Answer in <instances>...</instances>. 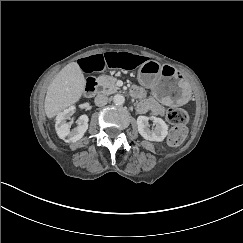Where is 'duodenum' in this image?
<instances>
[{"label":"duodenum","mask_w":243,"mask_h":243,"mask_svg":"<svg viewBox=\"0 0 243 243\" xmlns=\"http://www.w3.org/2000/svg\"><path fill=\"white\" fill-rule=\"evenodd\" d=\"M96 88H97V81L94 78H89L85 85V91H84L85 95L87 97L92 96L95 93Z\"/></svg>","instance_id":"410a0bca"}]
</instances>
